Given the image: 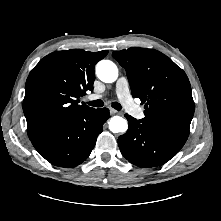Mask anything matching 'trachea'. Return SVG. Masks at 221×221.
Returning <instances> with one entry per match:
<instances>
[{
  "label": "trachea",
  "instance_id": "trachea-1",
  "mask_svg": "<svg viewBox=\"0 0 221 221\" xmlns=\"http://www.w3.org/2000/svg\"><path fill=\"white\" fill-rule=\"evenodd\" d=\"M88 104L93 107H102L104 105V102L102 100H94V101L88 102ZM112 107L118 111L122 109L121 104L118 102H113Z\"/></svg>",
  "mask_w": 221,
  "mask_h": 221
}]
</instances>
